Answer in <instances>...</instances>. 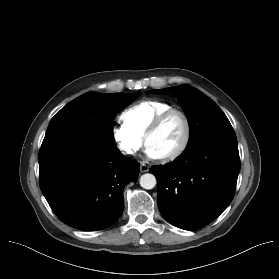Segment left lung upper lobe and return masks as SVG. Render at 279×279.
<instances>
[{
	"label": "left lung upper lobe",
	"instance_id": "1",
	"mask_svg": "<svg viewBox=\"0 0 279 279\" xmlns=\"http://www.w3.org/2000/svg\"><path fill=\"white\" fill-rule=\"evenodd\" d=\"M178 97L189 121L190 137L187 147L194 143L217 135H235V132L217 104L198 89L189 85L151 90L155 94L171 92Z\"/></svg>",
	"mask_w": 279,
	"mask_h": 279
}]
</instances>
